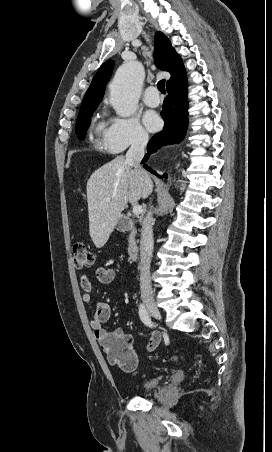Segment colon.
Masks as SVG:
<instances>
[{
  "instance_id": "1",
  "label": "colon",
  "mask_w": 272,
  "mask_h": 452,
  "mask_svg": "<svg viewBox=\"0 0 272 452\" xmlns=\"http://www.w3.org/2000/svg\"><path fill=\"white\" fill-rule=\"evenodd\" d=\"M72 252L73 264L76 269H82L93 264L94 256L84 243H75ZM107 357L111 364L127 371L135 369L137 364L135 352L127 337H120L111 341L107 349ZM198 364L201 367L204 366L202 361H199Z\"/></svg>"
}]
</instances>
